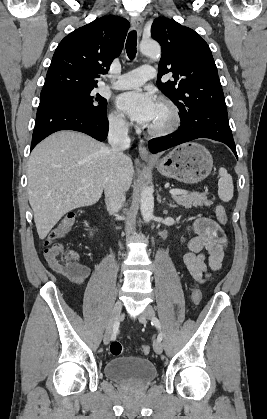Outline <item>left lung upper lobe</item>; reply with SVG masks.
Returning <instances> with one entry per match:
<instances>
[{"mask_svg": "<svg viewBox=\"0 0 267 419\" xmlns=\"http://www.w3.org/2000/svg\"><path fill=\"white\" fill-rule=\"evenodd\" d=\"M151 36L162 48L158 88L180 111L181 122L199 111L226 109L222 86L208 44L194 30L160 17ZM171 72L174 80L161 82Z\"/></svg>", "mask_w": 267, "mask_h": 419, "instance_id": "obj_1", "label": "left lung upper lobe"}]
</instances>
